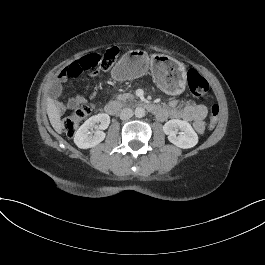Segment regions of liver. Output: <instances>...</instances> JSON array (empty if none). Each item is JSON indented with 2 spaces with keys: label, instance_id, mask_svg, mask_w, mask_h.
Masks as SVG:
<instances>
[{
  "label": "liver",
  "instance_id": "obj_1",
  "mask_svg": "<svg viewBox=\"0 0 265 265\" xmlns=\"http://www.w3.org/2000/svg\"><path fill=\"white\" fill-rule=\"evenodd\" d=\"M47 114L50 120V123L54 130L58 133H62V123L60 119V110L56 107L54 100L50 97L47 99Z\"/></svg>",
  "mask_w": 265,
  "mask_h": 265
}]
</instances>
